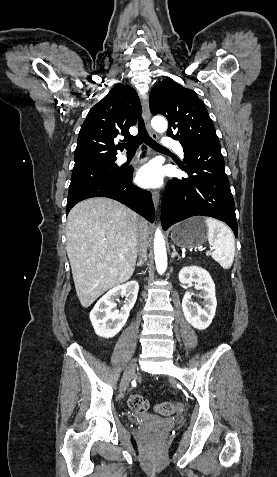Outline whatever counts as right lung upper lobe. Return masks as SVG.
Masks as SVG:
<instances>
[{
  "label": "right lung upper lobe",
  "mask_w": 277,
  "mask_h": 477,
  "mask_svg": "<svg viewBox=\"0 0 277 477\" xmlns=\"http://www.w3.org/2000/svg\"><path fill=\"white\" fill-rule=\"evenodd\" d=\"M141 105L136 91L128 85L117 84L95 106L81 126L74 154V168L116 160L114 139L133 138L129 128L136 124Z\"/></svg>",
  "instance_id": "1"
}]
</instances>
